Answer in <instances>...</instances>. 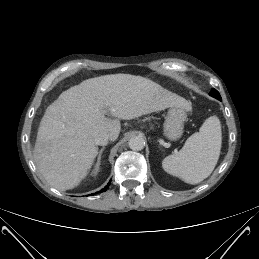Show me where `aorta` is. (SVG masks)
<instances>
[{
	"mask_svg": "<svg viewBox=\"0 0 259 259\" xmlns=\"http://www.w3.org/2000/svg\"><path fill=\"white\" fill-rule=\"evenodd\" d=\"M128 145L134 151H141L145 146V140L141 136H133L130 138Z\"/></svg>",
	"mask_w": 259,
	"mask_h": 259,
	"instance_id": "1",
	"label": "aorta"
}]
</instances>
